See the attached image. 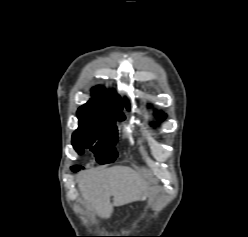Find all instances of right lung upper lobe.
Returning a JSON list of instances; mask_svg holds the SVG:
<instances>
[{"mask_svg": "<svg viewBox=\"0 0 248 237\" xmlns=\"http://www.w3.org/2000/svg\"><path fill=\"white\" fill-rule=\"evenodd\" d=\"M91 98L86 104L78 109V113L101 118H115L124 116L120 97L114 91H106L97 86L92 92Z\"/></svg>", "mask_w": 248, "mask_h": 237, "instance_id": "obj_1", "label": "right lung upper lobe"}]
</instances>
